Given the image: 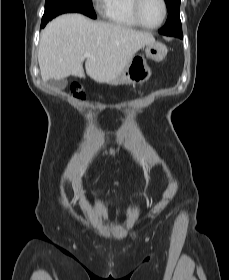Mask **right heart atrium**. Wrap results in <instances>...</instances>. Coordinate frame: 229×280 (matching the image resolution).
Masks as SVG:
<instances>
[{"label": "right heart atrium", "instance_id": "obj_1", "mask_svg": "<svg viewBox=\"0 0 229 280\" xmlns=\"http://www.w3.org/2000/svg\"><path fill=\"white\" fill-rule=\"evenodd\" d=\"M96 10L102 11L106 5L107 0H92Z\"/></svg>", "mask_w": 229, "mask_h": 280}]
</instances>
